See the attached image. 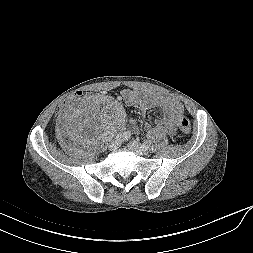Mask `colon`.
I'll use <instances>...</instances> for the list:
<instances>
[{"instance_id":"1","label":"colon","mask_w":253,"mask_h":253,"mask_svg":"<svg viewBox=\"0 0 253 253\" xmlns=\"http://www.w3.org/2000/svg\"><path fill=\"white\" fill-rule=\"evenodd\" d=\"M96 95L95 89H82L78 90L75 93H72L71 96H68L63 101L60 102L58 105V112L64 113L65 109L68 108L71 104L75 101L83 98L84 96L92 97ZM178 127L181 132L188 134L191 131V124L187 118H181L178 122Z\"/></svg>"}]
</instances>
